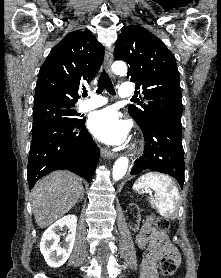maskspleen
Segmentation results:
<instances>
[{
    "mask_svg": "<svg viewBox=\"0 0 221 278\" xmlns=\"http://www.w3.org/2000/svg\"><path fill=\"white\" fill-rule=\"evenodd\" d=\"M146 188L155 192V200L150 201L157 208L158 213L169 219H175L177 216L176 203L179 199V191L175 183L167 175L148 172L134 183L133 189L141 192Z\"/></svg>",
    "mask_w": 221,
    "mask_h": 278,
    "instance_id": "spleen-1",
    "label": "spleen"
}]
</instances>
